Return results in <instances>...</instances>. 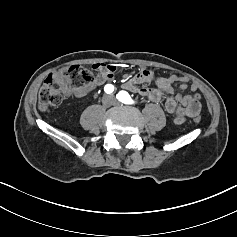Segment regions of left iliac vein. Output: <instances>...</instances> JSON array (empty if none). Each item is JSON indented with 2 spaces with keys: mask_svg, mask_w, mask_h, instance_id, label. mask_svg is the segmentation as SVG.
I'll list each match as a JSON object with an SVG mask.
<instances>
[{
  "mask_svg": "<svg viewBox=\"0 0 237 237\" xmlns=\"http://www.w3.org/2000/svg\"><path fill=\"white\" fill-rule=\"evenodd\" d=\"M114 97V96H113ZM119 103L117 102V101H115V99H114V103H113V105H118Z\"/></svg>",
  "mask_w": 237,
  "mask_h": 237,
  "instance_id": "left-iliac-vein-1",
  "label": "left iliac vein"
}]
</instances>
